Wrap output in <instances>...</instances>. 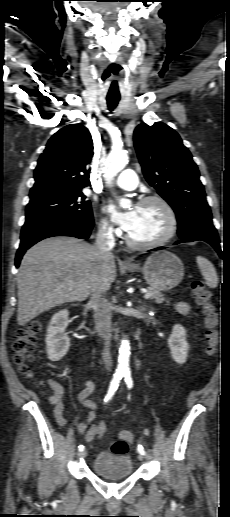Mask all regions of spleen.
Returning a JSON list of instances; mask_svg holds the SVG:
<instances>
[{"label":"spleen","mask_w":230,"mask_h":517,"mask_svg":"<svg viewBox=\"0 0 230 517\" xmlns=\"http://www.w3.org/2000/svg\"><path fill=\"white\" fill-rule=\"evenodd\" d=\"M196 261L207 286L210 288H216L218 285V277L213 264L202 256H198Z\"/></svg>","instance_id":"spleen-1"}]
</instances>
